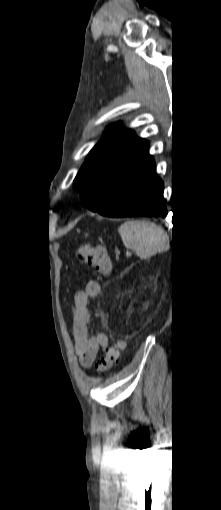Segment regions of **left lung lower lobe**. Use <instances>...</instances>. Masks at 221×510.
<instances>
[{"instance_id": "obj_1", "label": "left lung lower lobe", "mask_w": 221, "mask_h": 510, "mask_svg": "<svg viewBox=\"0 0 221 510\" xmlns=\"http://www.w3.org/2000/svg\"><path fill=\"white\" fill-rule=\"evenodd\" d=\"M163 182L155 174L152 161L104 208L92 211L107 217H166Z\"/></svg>"}]
</instances>
